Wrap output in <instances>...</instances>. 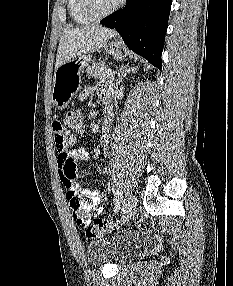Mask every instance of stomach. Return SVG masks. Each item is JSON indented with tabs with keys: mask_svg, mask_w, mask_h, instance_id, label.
I'll use <instances>...</instances> for the list:
<instances>
[{
	"mask_svg": "<svg viewBox=\"0 0 233 286\" xmlns=\"http://www.w3.org/2000/svg\"><path fill=\"white\" fill-rule=\"evenodd\" d=\"M106 52L117 60L124 58L122 47L119 42L112 41L104 46ZM91 62V55L77 56L60 65L54 74L52 89L53 106L59 110L67 107L70 100L81 87V75L84 68Z\"/></svg>",
	"mask_w": 233,
	"mask_h": 286,
	"instance_id": "0dacf381",
	"label": "stomach"
}]
</instances>
